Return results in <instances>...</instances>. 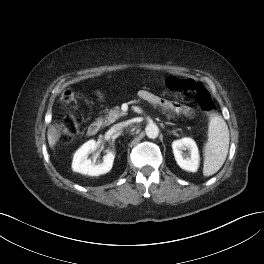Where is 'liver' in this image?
Wrapping results in <instances>:
<instances>
[{
	"label": "liver",
	"instance_id": "liver-1",
	"mask_svg": "<svg viewBox=\"0 0 264 264\" xmlns=\"http://www.w3.org/2000/svg\"><path fill=\"white\" fill-rule=\"evenodd\" d=\"M47 139H48V143H49L50 148L53 149L54 146L56 145L57 141H58L56 131L54 128L48 129Z\"/></svg>",
	"mask_w": 264,
	"mask_h": 264
}]
</instances>
